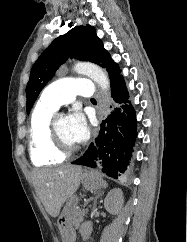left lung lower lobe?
Segmentation results:
<instances>
[{
	"mask_svg": "<svg viewBox=\"0 0 187 242\" xmlns=\"http://www.w3.org/2000/svg\"><path fill=\"white\" fill-rule=\"evenodd\" d=\"M111 96L118 107L102 121L95 142L72 164L98 168L117 179L129 164L137 137V121L122 75L111 83Z\"/></svg>",
	"mask_w": 187,
	"mask_h": 242,
	"instance_id": "1",
	"label": "left lung lower lobe"
}]
</instances>
